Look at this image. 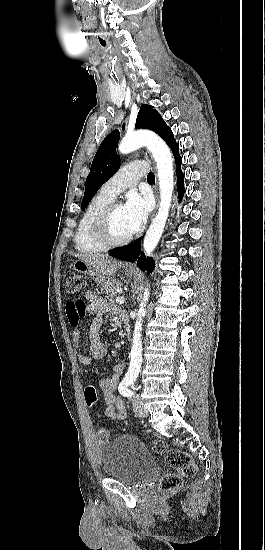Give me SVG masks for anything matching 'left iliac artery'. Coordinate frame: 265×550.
Here are the masks:
<instances>
[{
    "instance_id": "left-iliac-artery-1",
    "label": "left iliac artery",
    "mask_w": 265,
    "mask_h": 550,
    "mask_svg": "<svg viewBox=\"0 0 265 550\" xmlns=\"http://www.w3.org/2000/svg\"><path fill=\"white\" fill-rule=\"evenodd\" d=\"M134 382V379H126L123 380L119 385V392L121 395L125 397H131L134 393L128 388L130 385H132Z\"/></svg>"
}]
</instances>
